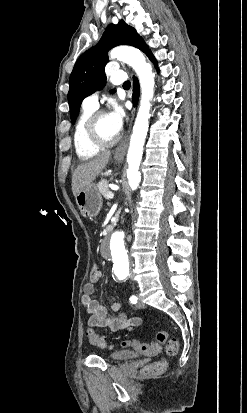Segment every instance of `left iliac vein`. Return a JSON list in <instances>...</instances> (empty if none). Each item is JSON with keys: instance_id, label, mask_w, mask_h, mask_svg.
<instances>
[{"instance_id": "left-iliac-vein-1", "label": "left iliac vein", "mask_w": 247, "mask_h": 413, "mask_svg": "<svg viewBox=\"0 0 247 413\" xmlns=\"http://www.w3.org/2000/svg\"><path fill=\"white\" fill-rule=\"evenodd\" d=\"M136 307L137 308H143L144 307V304H143V302H142V300H141V298H140V296L138 295V302H137V304H136Z\"/></svg>"}]
</instances>
